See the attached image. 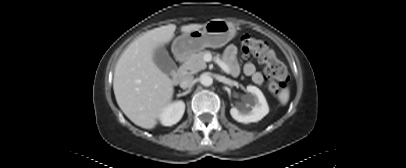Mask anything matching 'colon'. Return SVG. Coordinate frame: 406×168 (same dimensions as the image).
Returning a JSON list of instances; mask_svg holds the SVG:
<instances>
[{
  "label": "colon",
  "instance_id": "1",
  "mask_svg": "<svg viewBox=\"0 0 406 168\" xmlns=\"http://www.w3.org/2000/svg\"><path fill=\"white\" fill-rule=\"evenodd\" d=\"M241 51L245 58L257 59L265 65L267 87L273 95H278L285 87L288 74L271 46L264 40L244 35L241 39Z\"/></svg>",
  "mask_w": 406,
  "mask_h": 168
}]
</instances>
